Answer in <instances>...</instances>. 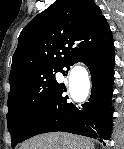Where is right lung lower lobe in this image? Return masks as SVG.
I'll return each mask as SVG.
<instances>
[{
	"instance_id": "obj_1",
	"label": "right lung lower lobe",
	"mask_w": 124,
	"mask_h": 149,
	"mask_svg": "<svg viewBox=\"0 0 124 149\" xmlns=\"http://www.w3.org/2000/svg\"><path fill=\"white\" fill-rule=\"evenodd\" d=\"M77 62L86 64L91 73L92 91L88 102L82 105L70 102L65 95L66 87L58 83L29 121L20 142L40 133L55 131L87 136L101 142L109 140L113 116L114 40L111 38L104 45L76 58L62 74L67 75L70 66Z\"/></svg>"
}]
</instances>
